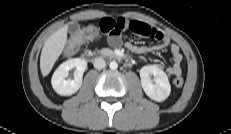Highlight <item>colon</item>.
<instances>
[{
	"label": "colon",
	"instance_id": "obj_1",
	"mask_svg": "<svg viewBox=\"0 0 231 134\" xmlns=\"http://www.w3.org/2000/svg\"><path fill=\"white\" fill-rule=\"evenodd\" d=\"M98 28L96 27H87L80 30L67 44L65 52L67 55H72L77 52L81 44L90 38L95 37L98 34ZM184 79L182 77H176L173 80L175 87L179 88L183 85Z\"/></svg>",
	"mask_w": 231,
	"mask_h": 134
}]
</instances>
